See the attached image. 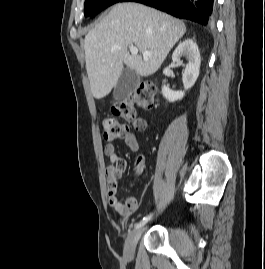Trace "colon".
<instances>
[{"label":"colon","instance_id":"colon-1","mask_svg":"<svg viewBox=\"0 0 265 269\" xmlns=\"http://www.w3.org/2000/svg\"><path fill=\"white\" fill-rule=\"evenodd\" d=\"M155 92L156 88L153 83L143 81L130 96L114 103L111 109L112 115L103 120L104 140L113 142L125 136L129 131V123L137 126V110L152 108Z\"/></svg>","mask_w":265,"mask_h":269}]
</instances>
